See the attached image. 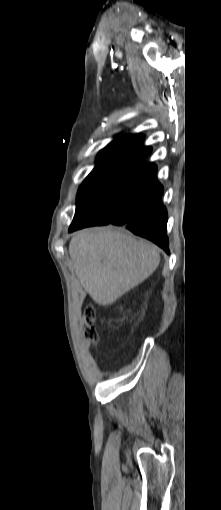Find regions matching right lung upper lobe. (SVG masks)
Returning a JSON list of instances; mask_svg holds the SVG:
<instances>
[{"label":"right lung upper lobe","instance_id":"cb5924a9","mask_svg":"<svg viewBox=\"0 0 221 510\" xmlns=\"http://www.w3.org/2000/svg\"><path fill=\"white\" fill-rule=\"evenodd\" d=\"M143 135H120L117 139L108 144L98 156L113 155L125 152H148L150 147H144L142 144Z\"/></svg>","mask_w":221,"mask_h":510}]
</instances>
